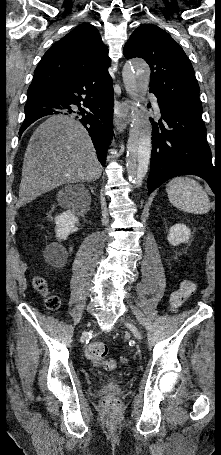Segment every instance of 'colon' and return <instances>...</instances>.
I'll use <instances>...</instances> for the list:
<instances>
[{
	"mask_svg": "<svg viewBox=\"0 0 221 455\" xmlns=\"http://www.w3.org/2000/svg\"><path fill=\"white\" fill-rule=\"evenodd\" d=\"M35 288L45 295V306L48 310H56L59 307L60 301L56 295L49 294L45 280L37 276L34 278ZM196 285L193 281H184L180 288L176 290L170 299V307L174 311L179 308L195 291ZM107 347L100 342H93L86 348V356L95 365L102 366L106 370H112L117 366V362L113 359H106ZM105 407L110 410L119 408V401L114 397H109L104 401Z\"/></svg>",
	"mask_w": 221,
	"mask_h": 455,
	"instance_id": "colon-1",
	"label": "colon"
}]
</instances>
